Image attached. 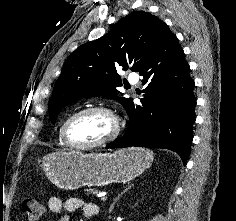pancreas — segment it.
<instances>
[{"mask_svg":"<svg viewBox=\"0 0 236 221\" xmlns=\"http://www.w3.org/2000/svg\"><path fill=\"white\" fill-rule=\"evenodd\" d=\"M88 192L91 194H94V193H97L98 190L97 189H89Z\"/></svg>","mask_w":236,"mask_h":221,"instance_id":"pancreas-1","label":"pancreas"}]
</instances>
